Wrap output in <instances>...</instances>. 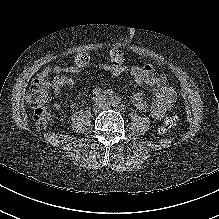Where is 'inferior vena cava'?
Segmentation results:
<instances>
[{
	"mask_svg": "<svg viewBox=\"0 0 219 219\" xmlns=\"http://www.w3.org/2000/svg\"><path fill=\"white\" fill-rule=\"evenodd\" d=\"M96 108L97 109H107L109 107V104H107L105 101H102L99 104H96Z\"/></svg>",
	"mask_w": 219,
	"mask_h": 219,
	"instance_id": "obj_1",
	"label": "inferior vena cava"
}]
</instances>
